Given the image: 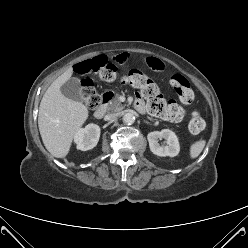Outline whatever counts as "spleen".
Here are the masks:
<instances>
[{"mask_svg":"<svg viewBox=\"0 0 248 248\" xmlns=\"http://www.w3.org/2000/svg\"><path fill=\"white\" fill-rule=\"evenodd\" d=\"M206 145V141L204 139H200L193 144H191L189 149V154L191 159L197 158L200 153L203 151L204 147Z\"/></svg>","mask_w":248,"mask_h":248,"instance_id":"3e777b00","label":"spleen"}]
</instances>
